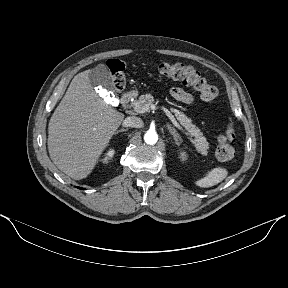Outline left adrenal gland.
Instances as JSON below:
<instances>
[{
    "label": "left adrenal gland",
    "instance_id": "left-adrenal-gland-1",
    "mask_svg": "<svg viewBox=\"0 0 288 288\" xmlns=\"http://www.w3.org/2000/svg\"><path fill=\"white\" fill-rule=\"evenodd\" d=\"M166 126H167V129L169 130L170 134L173 136L175 144H179L178 142L181 138H180V135L178 134V132L176 131V129L171 127V125H169V124H167Z\"/></svg>",
    "mask_w": 288,
    "mask_h": 288
}]
</instances>
